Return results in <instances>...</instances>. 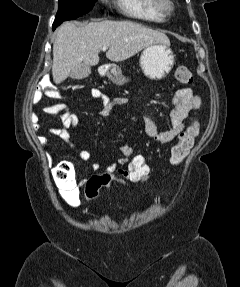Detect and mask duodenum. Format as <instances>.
Here are the masks:
<instances>
[{"instance_id": "1", "label": "duodenum", "mask_w": 240, "mask_h": 287, "mask_svg": "<svg viewBox=\"0 0 240 287\" xmlns=\"http://www.w3.org/2000/svg\"><path fill=\"white\" fill-rule=\"evenodd\" d=\"M102 71L104 72V73H106V71H107V66L106 65H104V66H102Z\"/></svg>"}]
</instances>
